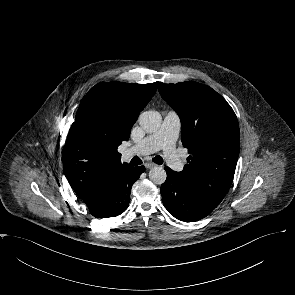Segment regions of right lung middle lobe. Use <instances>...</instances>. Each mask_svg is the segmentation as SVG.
Returning a JSON list of instances; mask_svg holds the SVG:
<instances>
[{
	"mask_svg": "<svg viewBox=\"0 0 295 295\" xmlns=\"http://www.w3.org/2000/svg\"><path fill=\"white\" fill-rule=\"evenodd\" d=\"M80 105L82 115L89 125L115 123L120 117L115 107L112 89L105 83H99L91 88Z\"/></svg>",
	"mask_w": 295,
	"mask_h": 295,
	"instance_id": "1",
	"label": "right lung middle lobe"
}]
</instances>
